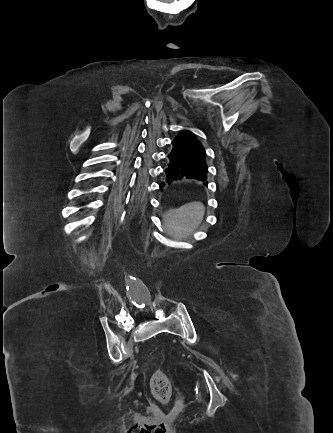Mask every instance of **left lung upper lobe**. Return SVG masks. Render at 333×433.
Returning a JSON list of instances; mask_svg holds the SVG:
<instances>
[{
	"label": "left lung upper lobe",
	"mask_w": 333,
	"mask_h": 433,
	"mask_svg": "<svg viewBox=\"0 0 333 433\" xmlns=\"http://www.w3.org/2000/svg\"><path fill=\"white\" fill-rule=\"evenodd\" d=\"M177 140L181 141L182 143H185L189 147L193 148L197 152H199L201 155L206 156L205 150L202 146V144L197 140L195 135L191 131H185L181 132L177 137Z\"/></svg>",
	"instance_id": "left-lung-upper-lobe-1"
}]
</instances>
